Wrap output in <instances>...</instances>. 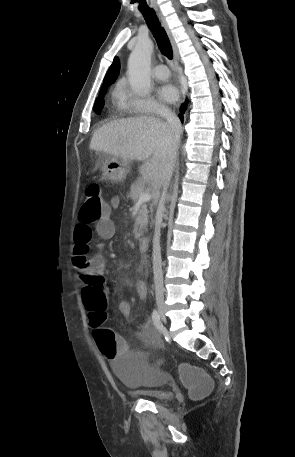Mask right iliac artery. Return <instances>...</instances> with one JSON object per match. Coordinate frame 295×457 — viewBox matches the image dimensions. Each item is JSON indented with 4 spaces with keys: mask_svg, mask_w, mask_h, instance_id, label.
<instances>
[{
    "mask_svg": "<svg viewBox=\"0 0 295 457\" xmlns=\"http://www.w3.org/2000/svg\"><path fill=\"white\" fill-rule=\"evenodd\" d=\"M152 320H153V323L156 327V329L159 331V332H162L163 330V325L161 323V319H160V315L158 313L157 310H153L152 312Z\"/></svg>",
    "mask_w": 295,
    "mask_h": 457,
    "instance_id": "82829eb1",
    "label": "right iliac artery"
}]
</instances>
